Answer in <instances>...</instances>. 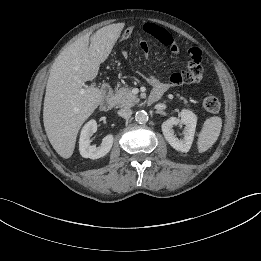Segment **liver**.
<instances>
[{
    "instance_id": "liver-1",
    "label": "liver",
    "mask_w": 261,
    "mask_h": 261,
    "mask_svg": "<svg viewBox=\"0 0 261 261\" xmlns=\"http://www.w3.org/2000/svg\"><path fill=\"white\" fill-rule=\"evenodd\" d=\"M122 28L123 24H111L97 30L91 39L89 35L80 37L59 54L51 67L43 123L52 147L65 159L74 152L82 124L104 98L100 89L84 87V82L97 76L100 64L108 58Z\"/></svg>"
}]
</instances>
